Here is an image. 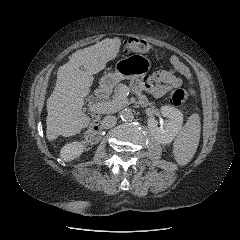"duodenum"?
<instances>
[{
	"label": "duodenum",
	"instance_id": "410a0bca",
	"mask_svg": "<svg viewBox=\"0 0 240 240\" xmlns=\"http://www.w3.org/2000/svg\"><path fill=\"white\" fill-rule=\"evenodd\" d=\"M109 88L107 86H100L97 90H96V96L97 98H99L100 100H106L109 96ZM100 128V126H99Z\"/></svg>",
	"mask_w": 240,
	"mask_h": 240
}]
</instances>
